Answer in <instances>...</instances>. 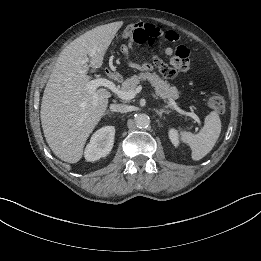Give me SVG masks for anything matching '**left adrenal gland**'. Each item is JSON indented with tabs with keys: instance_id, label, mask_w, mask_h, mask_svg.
Masks as SVG:
<instances>
[{
	"instance_id": "left-adrenal-gland-1",
	"label": "left adrenal gland",
	"mask_w": 261,
	"mask_h": 261,
	"mask_svg": "<svg viewBox=\"0 0 261 261\" xmlns=\"http://www.w3.org/2000/svg\"><path fill=\"white\" fill-rule=\"evenodd\" d=\"M156 113L159 115L160 118H162V114L165 113V114H168L169 113V110H165V109H155Z\"/></svg>"
}]
</instances>
